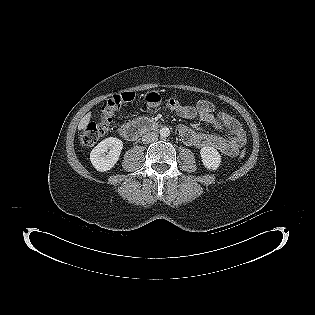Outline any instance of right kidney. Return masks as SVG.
Instances as JSON below:
<instances>
[{
	"label": "right kidney",
	"mask_w": 315,
	"mask_h": 315,
	"mask_svg": "<svg viewBox=\"0 0 315 315\" xmlns=\"http://www.w3.org/2000/svg\"><path fill=\"white\" fill-rule=\"evenodd\" d=\"M123 142L114 137L101 141L90 153V161L93 167L100 172L110 170L119 160Z\"/></svg>",
	"instance_id": "ca27d5eb"
}]
</instances>
